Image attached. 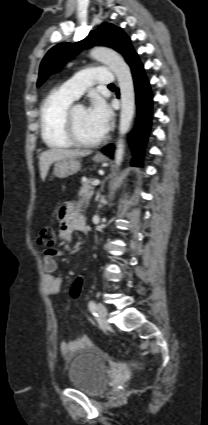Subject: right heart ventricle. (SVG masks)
Instances as JSON below:
<instances>
[{
	"mask_svg": "<svg viewBox=\"0 0 208 425\" xmlns=\"http://www.w3.org/2000/svg\"><path fill=\"white\" fill-rule=\"evenodd\" d=\"M74 100L61 89H57L42 102L40 131L44 143L49 148L68 149L74 146L66 135L65 127V113Z\"/></svg>",
	"mask_w": 208,
	"mask_h": 425,
	"instance_id": "e07e8e85",
	"label": "right heart ventricle"
}]
</instances>
